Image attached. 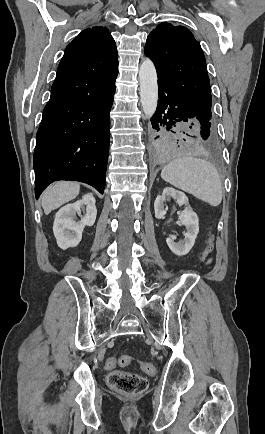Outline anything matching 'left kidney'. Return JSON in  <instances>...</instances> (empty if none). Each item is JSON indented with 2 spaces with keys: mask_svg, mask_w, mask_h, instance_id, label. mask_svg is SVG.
Wrapping results in <instances>:
<instances>
[{
  "mask_svg": "<svg viewBox=\"0 0 265 434\" xmlns=\"http://www.w3.org/2000/svg\"><path fill=\"white\" fill-rule=\"evenodd\" d=\"M170 198H174L180 206L185 204V210L180 212L179 220L181 224L185 226L186 234H184V240L178 242V244H175L174 240H171V238H167L166 242L173 254H176V256H185V254H188L191 248H193L199 232L197 214L190 208L188 198L183 192H178V190H174V188H164L162 196H157L154 202L155 218H158V220L164 218L166 214V210H164L165 202L170 200Z\"/></svg>",
  "mask_w": 265,
  "mask_h": 434,
  "instance_id": "obj_1",
  "label": "left kidney"
}]
</instances>
